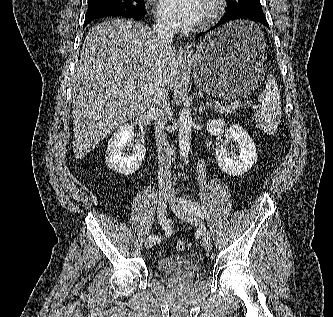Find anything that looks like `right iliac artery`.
Segmentation results:
<instances>
[{
    "instance_id": "82829eb1",
    "label": "right iliac artery",
    "mask_w": 333,
    "mask_h": 317,
    "mask_svg": "<svg viewBox=\"0 0 333 317\" xmlns=\"http://www.w3.org/2000/svg\"><path fill=\"white\" fill-rule=\"evenodd\" d=\"M160 224L162 225L164 231H165V237H169L172 234V228L168 220L165 219H160ZM149 239L155 240V241H160L161 237L155 236V235H150Z\"/></svg>"
}]
</instances>
